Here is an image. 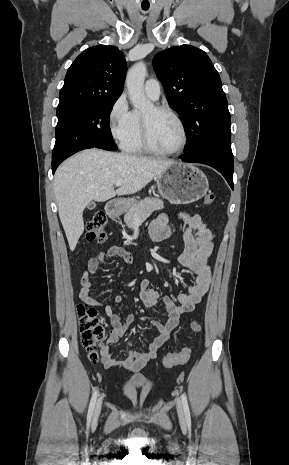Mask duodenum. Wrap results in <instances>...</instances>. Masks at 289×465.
Wrapping results in <instances>:
<instances>
[{
    "label": "duodenum",
    "mask_w": 289,
    "mask_h": 465,
    "mask_svg": "<svg viewBox=\"0 0 289 465\" xmlns=\"http://www.w3.org/2000/svg\"><path fill=\"white\" fill-rule=\"evenodd\" d=\"M120 206L115 200H112L106 206V213L110 218H116L119 215Z\"/></svg>",
    "instance_id": "410a0bca"
}]
</instances>
